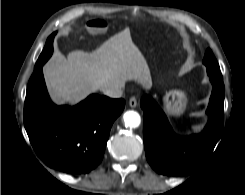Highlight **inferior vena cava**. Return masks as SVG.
I'll return each instance as SVG.
<instances>
[{"mask_svg":"<svg viewBox=\"0 0 245 195\" xmlns=\"http://www.w3.org/2000/svg\"><path fill=\"white\" fill-rule=\"evenodd\" d=\"M101 91L104 95L111 98H120L122 96V90L119 87H103Z\"/></svg>","mask_w":245,"mask_h":195,"instance_id":"obj_1","label":"inferior vena cava"}]
</instances>
